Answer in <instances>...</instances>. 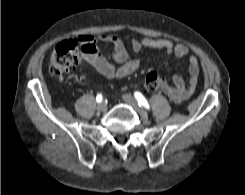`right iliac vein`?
Instances as JSON below:
<instances>
[{
    "mask_svg": "<svg viewBox=\"0 0 245 195\" xmlns=\"http://www.w3.org/2000/svg\"><path fill=\"white\" fill-rule=\"evenodd\" d=\"M97 110L100 111V112L106 111V110H107V105H106V103L102 102V103L98 104Z\"/></svg>",
    "mask_w": 245,
    "mask_h": 195,
    "instance_id": "obj_1",
    "label": "right iliac vein"
}]
</instances>
